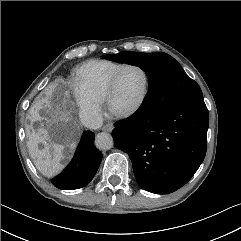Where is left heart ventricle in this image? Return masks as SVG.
<instances>
[{
  "label": "left heart ventricle",
  "instance_id": "left-heart-ventricle-1",
  "mask_svg": "<svg viewBox=\"0 0 241 241\" xmlns=\"http://www.w3.org/2000/svg\"><path fill=\"white\" fill-rule=\"evenodd\" d=\"M145 76L138 68L124 70L118 78L112 99L114 109L123 111L133 106L142 94Z\"/></svg>",
  "mask_w": 241,
  "mask_h": 241
}]
</instances>
